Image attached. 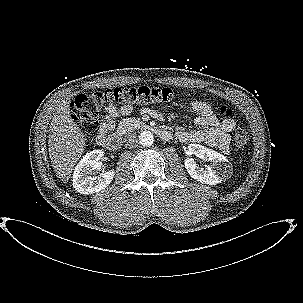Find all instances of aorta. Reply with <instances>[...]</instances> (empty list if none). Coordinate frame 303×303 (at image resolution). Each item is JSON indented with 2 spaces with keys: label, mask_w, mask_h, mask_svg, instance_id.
I'll list each match as a JSON object with an SVG mask.
<instances>
[{
  "label": "aorta",
  "mask_w": 303,
  "mask_h": 303,
  "mask_svg": "<svg viewBox=\"0 0 303 303\" xmlns=\"http://www.w3.org/2000/svg\"><path fill=\"white\" fill-rule=\"evenodd\" d=\"M154 142V136L150 131H142L139 135V143L142 146H151Z\"/></svg>",
  "instance_id": "obj_1"
}]
</instances>
